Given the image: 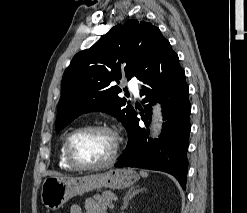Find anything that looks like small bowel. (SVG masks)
Instances as JSON below:
<instances>
[{"label": "small bowel", "mask_w": 247, "mask_h": 213, "mask_svg": "<svg viewBox=\"0 0 247 213\" xmlns=\"http://www.w3.org/2000/svg\"><path fill=\"white\" fill-rule=\"evenodd\" d=\"M70 213H105L101 207L92 199L85 201L84 209L77 204L70 207Z\"/></svg>", "instance_id": "c3829d8e"}]
</instances>
